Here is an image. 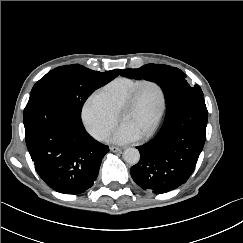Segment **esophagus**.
Here are the masks:
<instances>
[{
	"mask_svg": "<svg viewBox=\"0 0 243 243\" xmlns=\"http://www.w3.org/2000/svg\"><path fill=\"white\" fill-rule=\"evenodd\" d=\"M110 150L112 152H119V153H121L124 150V148L123 147L112 146V147H110Z\"/></svg>",
	"mask_w": 243,
	"mask_h": 243,
	"instance_id": "34e87169",
	"label": "esophagus"
}]
</instances>
